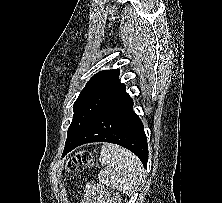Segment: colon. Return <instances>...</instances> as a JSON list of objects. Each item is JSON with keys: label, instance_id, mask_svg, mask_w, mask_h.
Wrapping results in <instances>:
<instances>
[{"label": "colon", "instance_id": "5ec220e1", "mask_svg": "<svg viewBox=\"0 0 222 203\" xmlns=\"http://www.w3.org/2000/svg\"><path fill=\"white\" fill-rule=\"evenodd\" d=\"M93 155L88 150H82L78 152L71 160L66 164L67 172H73L78 165H92ZM113 203H121V199L118 193L113 196Z\"/></svg>", "mask_w": 222, "mask_h": 203}]
</instances>
